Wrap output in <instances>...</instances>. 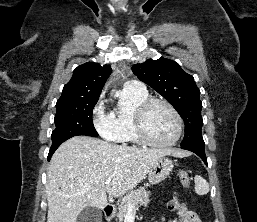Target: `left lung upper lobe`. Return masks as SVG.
Segmentation results:
<instances>
[{
	"mask_svg": "<svg viewBox=\"0 0 257 222\" xmlns=\"http://www.w3.org/2000/svg\"><path fill=\"white\" fill-rule=\"evenodd\" d=\"M133 73L168 100L185 122V136L181 147L205 148L202 137L203 120L200 90L193 76L170 59L147 60L132 66Z\"/></svg>",
	"mask_w": 257,
	"mask_h": 222,
	"instance_id": "left-lung-upper-lobe-1",
	"label": "left lung upper lobe"
}]
</instances>
